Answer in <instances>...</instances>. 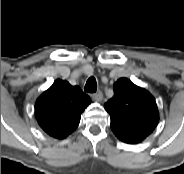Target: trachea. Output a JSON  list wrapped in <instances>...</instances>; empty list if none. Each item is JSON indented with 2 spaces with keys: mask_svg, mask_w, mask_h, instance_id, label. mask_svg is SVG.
I'll list each match as a JSON object with an SVG mask.
<instances>
[{
  "mask_svg": "<svg viewBox=\"0 0 184 174\" xmlns=\"http://www.w3.org/2000/svg\"><path fill=\"white\" fill-rule=\"evenodd\" d=\"M84 90L88 93H95L97 90V82L94 77H90L86 84Z\"/></svg>",
  "mask_w": 184,
  "mask_h": 174,
  "instance_id": "trachea-1",
  "label": "trachea"
}]
</instances>
